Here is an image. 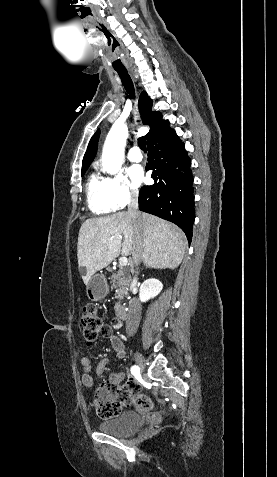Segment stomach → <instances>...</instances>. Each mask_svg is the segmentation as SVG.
Masks as SVG:
<instances>
[{"label": "stomach", "instance_id": "stomach-1", "mask_svg": "<svg viewBox=\"0 0 277 477\" xmlns=\"http://www.w3.org/2000/svg\"><path fill=\"white\" fill-rule=\"evenodd\" d=\"M109 286L106 278L102 274L93 275L86 288V295L91 301H100L107 296Z\"/></svg>", "mask_w": 277, "mask_h": 477}]
</instances>
